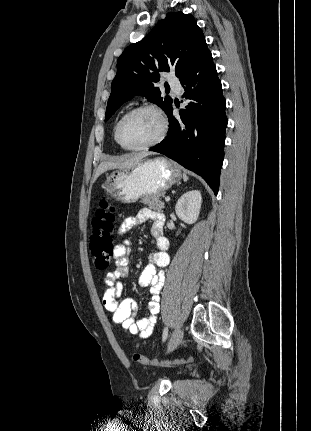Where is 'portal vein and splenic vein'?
<instances>
[{"mask_svg": "<svg viewBox=\"0 0 311 431\" xmlns=\"http://www.w3.org/2000/svg\"><path fill=\"white\" fill-rule=\"evenodd\" d=\"M165 202H170V198H165Z\"/></svg>", "mask_w": 311, "mask_h": 431, "instance_id": "obj_1", "label": "portal vein and splenic vein"}]
</instances>
